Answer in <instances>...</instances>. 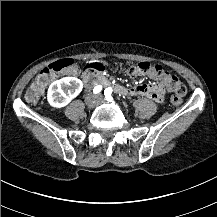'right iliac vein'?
Returning <instances> with one entry per match:
<instances>
[{
	"instance_id": "obj_1",
	"label": "right iliac vein",
	"mask_w": 217,
	"mask_h": 217,
	"mask_svg": "<svg viewBox=\"0 0 217 217\" xmlns=\"http://www.w3.org/2000/svg\"><path fill=\"white\" fill-rule=\"evenodd\" d=\"M85 104L88 108H93L95 106V99L93 94H89L85 98Z\"/></svg>"
}]
</instances>
